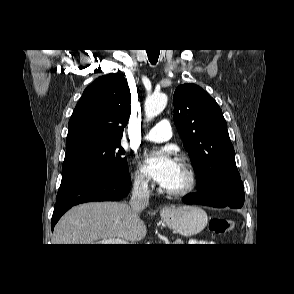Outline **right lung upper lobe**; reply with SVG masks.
<instances>
[{"mask_svg": "<svg viewBox=\"0 0 294 294\" xmlns=\"http://www.w3.org/2000/svg\"><path fill=\"white\" fill-rule=\"evenodd\" d=\"M130 102V90L122 75L112 73L97 78L75 107L66 144L86 139L121 142Z\"/></svg>", "mask_w": 294, "mask_h": 294, "instance_id": "obj_1", "label": "right lung upper lobe"}]
</instances>
